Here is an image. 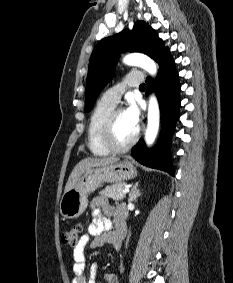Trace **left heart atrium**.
Masks as SVG:
<instances>
[{
  "mask_svg": "<svg viewBox=\"0 0 233 283\" xmlns=\"http://www.w3.org/2000/svg\"><path fill=\"white\" fill-rule=\"evenodd\" d=\"M124 112L130 122L137 128L140 120V111L137 104L132 100L129 101V104Z\"/></svg>",
  "mask_w": 233,
  "mask_h": 283,
  "instance_id": "39dd6f15",
  "label": "left heart atrium"
}]
</instances>
